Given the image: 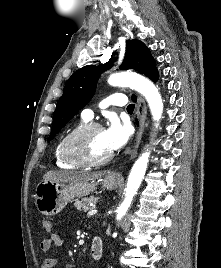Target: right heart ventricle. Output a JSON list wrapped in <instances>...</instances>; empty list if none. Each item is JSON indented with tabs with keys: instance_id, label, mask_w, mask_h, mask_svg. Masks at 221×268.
I'll list each match as a JSON object with an SVG mask.
<instances>
[{
	"instance_id": "e07e8e85",
	"label": "right heart ventricle",
	"mask_w": 221,
	"mask_h": 268,
	"mask_svg": "<svg viewBox=\"0 0 221 268\" xmlns=\"http://www.w3.org/2000/svg\"><path fill=\"white\" fill-rule=\"evenodd\" d=\"M88 120L86 119H82V121L75 127H73L72 129L68 130L67 132H65L61 137L60 139L58 140L56 146H55V150H54V157H55V162L57 164L58 167L60 168H65V169H74V168H78L80 166L78 165H75V164H72L68 161H66L63 156H62V153H61V147H62V144H63V141L65 140V138L71 133L73 132L76 128L84 125L87 123Z\"/></svg>"
}]
</instances>
